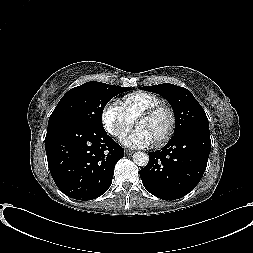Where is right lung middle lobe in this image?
Listing matches in <instances>:
<instances>
[{
    "instance_id": "1",
    "label": "right lung middle lobe",
    "mask_w": 253,
    "mask_h": 253,
    "mask_svg": "<svg viewBox=\"0 0 253 253\" xmlns=\"http://www.w3.org/2000/svg\"><path fill=\"white\" fill-rule=\"evenodd\" d=\"M130 89L95 81L74 87L57 104L49 118L48 127L73 122L104 129L102 125L104 107L114 96Z\"/></svg>"
}]
</instances>
